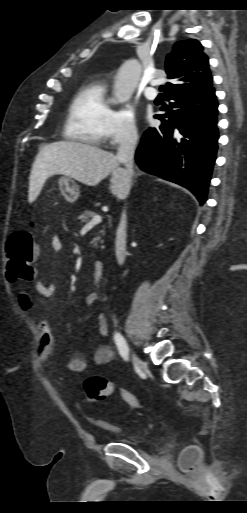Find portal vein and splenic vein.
Here are the masks:
<instances>
[{"label": "portal vein and splenic vein", "instance_id": "obj_1", "mask_svg": "<svg viewBox=\"0 0 247 513\" xmlns=\"http://www.w3.org/2000/svg\"><path fill=\"white\" fill-rule=\"evenodd\" d=\"M102 221L101 215H95L92 217V219L86 224L87 227L94 226L96 224H99Z\"/></svg>", "mask_w": 247, "mask_h": 513}]
</instances>
